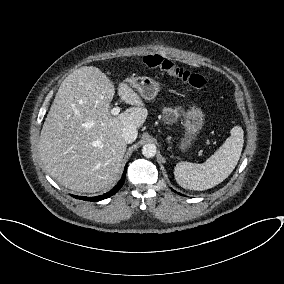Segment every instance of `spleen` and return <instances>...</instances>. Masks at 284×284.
<instances>
[{"instance_id": "spleen-1", "label": "spleen", "mask_w": 284, "mask_h": 284, "mask_svg": "<svg viewBox=\"0 0 284 284\" xmlns=\"http://www.w3.org/2000/svg\"><path fill=\"white\" fill-rule=\"evenodd\" d=\"M230 134L204 163L179 162L174 168L177 183L187 189L206 190L224 181L235 169L244 143V132L240 126L233 127Z\"/></svg>"}]
</instances>
